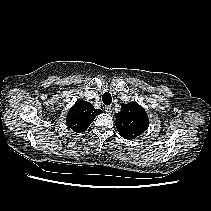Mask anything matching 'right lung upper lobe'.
<instances>
[{"label":"right lung upper lobe","mask_w":211,"mask_h":211,"mask_svg":"<svg viewBox=\"0 0 211 211\" xmlns=\"http://www.w3.org/2000/svg\"><path fill=\"white\" fill-rule=\"evenodd\" d=\"M101 109H95L91 103L77 100L67 114V126L76 133L84 132L94 118L101 114Z\"/></svg>","instance_id":"cb5924a9"}]
</instances>
